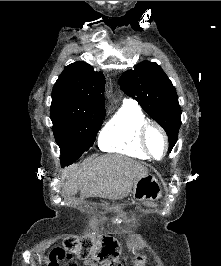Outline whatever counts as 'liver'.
Returning <instances> with one entry per match:
<instances>
[{
  "label": "liver",
  "instance_id": "6515ba94",
  "mask_svg": "<svg viewBox=\"0 0 221 266\" xmlns=\"http://www.w3.org/2000/svg\"><path fill=\"white\" fill-rule=\"evenodd\" d=\"M147 174L139 162L122 155H103L90 159L83 165L74 164L64 170L62 194L81 191L86 197L112 200L129 195L135 182Z\"/></svg>",
  "mask_w": 221,
  "mask_h": 266
}]
</instances>
